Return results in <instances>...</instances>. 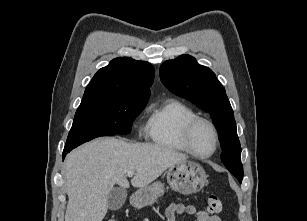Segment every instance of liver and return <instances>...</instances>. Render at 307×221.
Wrapping results in <instances>:
<instances>
[{
    "mask_svg": "<svg viewBox=\"0 0 307 221\" xmlns=\"http://www.w3.org/2000/svg\"><path fill=\"white\" fill-rule=\"evenodd\" d=\"M175 150L117 138H99L70 152L64 163L68 195L65 221H102L108 210V195L115 184L129 188L148 186L166 169L187 160Z\"/></svg>",
    "mask_w": 307,
    "mask_h": 221,
    "instance_id": "liver-1",
    "label": "liver"
}]
</instances>
